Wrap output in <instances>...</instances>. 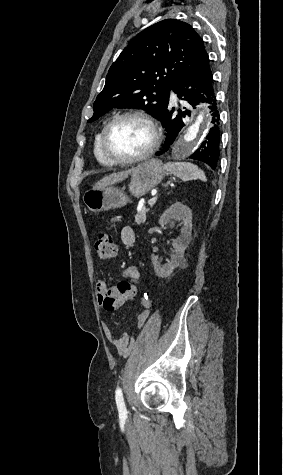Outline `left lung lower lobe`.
I'll list each match as a JSON object with an SVG mask.
<instances>
[{"instance_id": "0a47b994", "label": "left lung lower lobe", "mask_w": 283, "mask_h": 475, "mask_svg": "<svg viewBox=\"0 0 283 475\" xmlns=\"http://www.w3.org/2000/svg\"><path fill=\"white\" fill-rule=\"evenodd\" d=\"M177 97L194 106L199 102L210 104L209 109L212 115V127L206 137V140L190 156L191 159L207 163L213 169L216 168L220 149V128L219 112L214 92L212 73L209 67V59L204 61L198 67L184 74L172 87ZM175 108L168 105L159 119L162 120L166 130V139L161 145L156 155H161L170 150L179 131L184 127V117L190 116L189 111L178 110V115L173 114Z\"/></svg>"}]
</instances>
